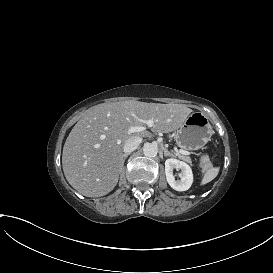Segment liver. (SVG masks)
I'll return each mask as SVG.
<instances>
[{
	"instance_id": "liver-1",
	"label": "liver",
	"mask_w": 273,
	"mask_h": 273,
	"mask_svg": "<svg viewBox=\"0 0 273 273\" xmlns=\"http://www.w3.org/2000/svg\"><path fill=\"white\" fill-rule=\"evenodd\" d=\"M192 112L183 104L126 100L98 104L86 111L69 133L63 147L62 166L68 183L87 197L104 196L116 186L123 167V147L133 137L132 126L153 120L152 132L168 133L182 126Z\"/></svg>"
}]
</instances>
